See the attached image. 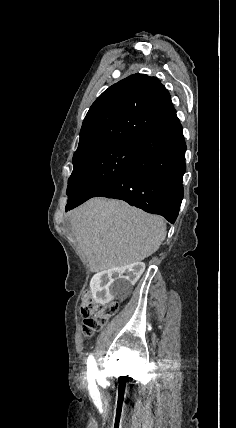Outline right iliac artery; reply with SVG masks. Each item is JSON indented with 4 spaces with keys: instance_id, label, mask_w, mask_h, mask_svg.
<instances>
[{
    "instance_id": "right-iliac-artery-1",
    "label": "right iliac artery",
    "mask_w": 236,
    "mask_h": 428,
    "mask_svg": "<svg viewBox=\"0 0 236 428\" xmlns=\"http://www.w3.org/2000/svg\"><path fill=\"white\" fill-rule=\"evenodd\" d=\"M98 368L96 361L92 355H90L87 359V374H97Z\"/></svg>"
}]
</instances>
